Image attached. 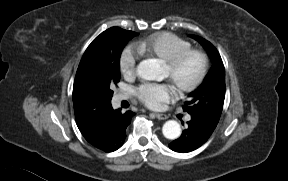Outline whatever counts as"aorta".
I'll return each instance as SVG.
<instances>
[{
	"label": "aorta",
	"instance_id": "762f6f07",
	"mask_svg": "<svg viewBox=\"0 0 288 181\" xmlns=\"http://www.w3.org/2000/svg\"><path fill=\"white\" fill-rule=\"evenodd\" d=\"M137 74L144 80H156L161 75V69L155 60H143L137 66ZM162 132L167 139H177L181 135L180 124L175 120H169L163 125Z\"/></svg>",
	"mask_w": 288,
	"mask_h": 181
}]
</instances>
